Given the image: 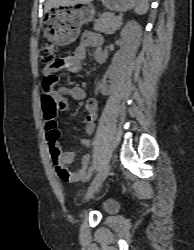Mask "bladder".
Masks as SVG:
<instances>
[{
	"mask_svg": "<svg viewBox=\"0 0 194 250\" xmlns=\"http://www.w3.org/2000/svg\"><path fill=\"white\" fill-rule=\"evenodd\" d=\"M116 208V204L113 200H106L101 206V212L110 213L113 212Z\"/></svg>",
	"mask_w": 194,
	"mask_h": 250,
	"instance_id": "31cf9c89",
	"label": "bladder"
}]
</instances>
